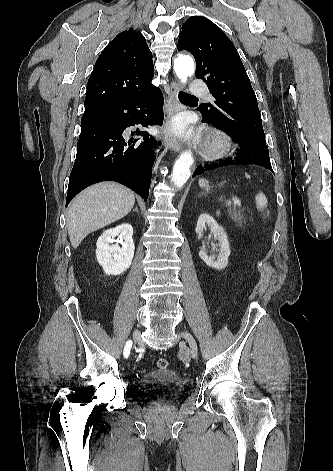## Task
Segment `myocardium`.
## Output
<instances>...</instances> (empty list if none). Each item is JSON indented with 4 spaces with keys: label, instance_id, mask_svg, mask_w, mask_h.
Returning a JSON list of instances; mask_svg holds the SVG:
<instances>
[{
    "label": "myocardium",
    "instance_id": "f54148a6",
    "mask_svg": "<svg viewBox=\"0 0 333 471\" xmlns=\"http://www.w3.org/2000/svg\"><path fill=\"white\" fill-rule=\"evenodd\" d=\"M231 137L223 131L213 130L209 132L203 143V155L214 160L226 156L232 149Z\"/></svg>",
    "mask_w": 333,
    "mask_h": 471
}]
</instances>
